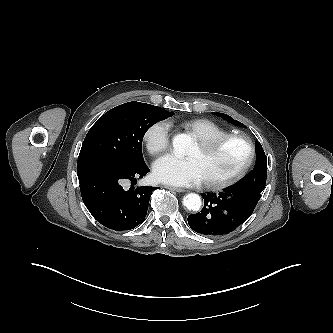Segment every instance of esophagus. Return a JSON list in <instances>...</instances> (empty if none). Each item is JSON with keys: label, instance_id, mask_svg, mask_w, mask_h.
<instances>
[{"label": "esophagus", "instance_id": "34e87169", "mask_svg": "<svg viewBox=\"0 0 333 333\" xmlns=\"http://www.w3.org/2000/svg\"><path fill=\"white\" fill-rule=\"evenodd\" d=\"M165 188L176 191V192H185V189L178 188V187H173V186H165Z\"/></svg>", "mask_w": 333, "mask_h": 333}]
</instances>
